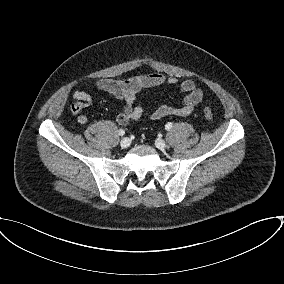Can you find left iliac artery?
Instances as JSON below:
<instances>
[{"instance_id":"left-iliac-artery-1","label":"left iliac artery","mask_w":284,"mask_h":284,"mask_svg":"<svg viewBox=\"0 0 284 284\" xmlns=\"http://www.w3.org/2000/svg\"><path fill=\"white\" fill-rule=\"evenodd\" d=\"M172 127H173V123H171V122H168V123L165 125V129H166V130H170Z\"/></svg>"}]
</instances>
